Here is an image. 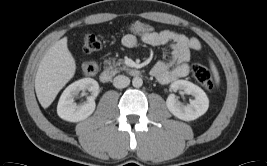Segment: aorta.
I'll use <instances>...</instances> for the list:
<instances>
[{
    "mask_svg": "<svg viewBox=\"0 0 267 166\" xmlns=\"http://www.w3.org/2000/svg\"><path fill=\"white\" fill-rule=\"evenodd\" d=\"M143 84V80L140 77H134L132 80V85L136 88L141 87Z\"/></svg>",
    "mask_w": 267,
    "mask_h": 166,
    "instance_id": "762f6f07",
    "label": "aorta"
}]
</instances>
